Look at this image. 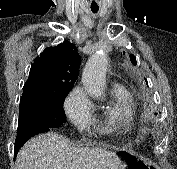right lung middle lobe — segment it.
Listing matches in <instances>:
<instances>
[{
	"mask_svg": "<svg viewBox=\"0 0 177 169\" xmlns=\"http://www.w3.org/2000/svg\"><path fill=\"white\" fill-rule=\"evenodd\" d=\"M66 95L67 94L53 101H40L34 99L21 100L19 123L30 120L48 127H59L65 122L63 103Z\"/></svg>",
	"mask_w": 177,
	"mask_h": 169,
	"instance_id": "right-lung-middle-lobe-1",
	"label": "right lung middle lobe"
}]
</instances>
